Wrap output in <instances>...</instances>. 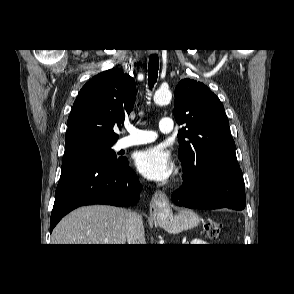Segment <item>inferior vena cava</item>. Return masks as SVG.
Masks as SVG:
<instances>
[{"label": "inferior vena cava", "mask_w": 294, "mask_h": 294, "mask_svg": "<svg viewBox=\"0 0 294 294\" xmlns=\"http://www.w3.org/2000/svg\"><path fill=\"white\" fill-rule=\"evenodd\" d=\"M126 238L131 245L146 244L142 216L135 211L127 214Z\"/></svg>", "instance_id": "602c4592"}]
</instances>
